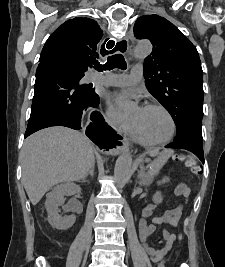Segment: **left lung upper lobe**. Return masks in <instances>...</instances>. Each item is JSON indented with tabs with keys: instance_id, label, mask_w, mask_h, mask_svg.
Wrapping results in <instances>:
<instances>
[{
	"instance_id": "5c2ea615",
	"label": "left lung upper lobe",
	"mask_w": 225,
	"mask_h": 267,
	"mask_svg": "<svg viewBox=\"0 0 225 267\" xmlns=\"http://www.w3.org/2000/svg\"><path fill=\"white\" fill-rule=\"evenodd\" d=\"M134 34L153 45L144 60L146 87L171 114L180 135L193 120L203 118V71L197 49L158 15L138 18Z\"/></svg>"
}]
</instances>
